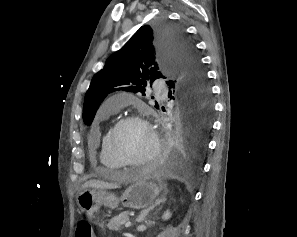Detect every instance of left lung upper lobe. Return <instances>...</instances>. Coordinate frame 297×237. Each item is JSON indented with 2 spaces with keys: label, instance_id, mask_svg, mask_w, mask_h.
Here are the masks:
<instances>
[{
  "label": "left lung upper lobe",
  "instance_id": "obj_1",
  "mask_svg": "<svg viewBox=\"0 0 297 237\" xmlns=\"http://www.w3.org/2000/svg\"><path fill=\"white\" fill-rule=\"evenodd\" d=\"M167 79L174 99L197 106L210 103V89L195 48L178 26L161 22L144 25L96 73L85 95L83 120L90 125L111 92L125 90L145 95L148 81ZM156 107V106H155Z\"/></svg>",
  "mask_w": 297,
  "mask_h": 237
}]
</instances>
